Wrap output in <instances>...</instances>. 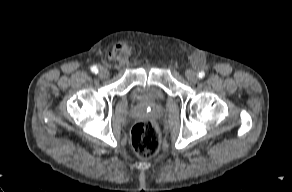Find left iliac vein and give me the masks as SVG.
Here are the masks:
<instances>
[{"label": "left iliac vein", "mask_w": 292, "mask_h": 192, "mask_svg": "<svg viewBox=\"0 0 292 192\" xmlns=\"http://www.w3.org/2000/svg\"><path fill=\"white\" fill-rule=\"evenodd\" d=\"M185 75H186V78L190 81V82H192V83H195V82H197V80H198V75H197V73L195 72V71H193V70H187L186 71V73H185Z\"/></svg>", "instance_id": "obj_1"}]
</instances>
